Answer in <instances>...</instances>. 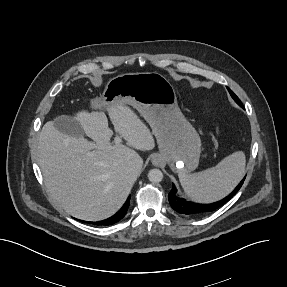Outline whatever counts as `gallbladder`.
Wrapping results in <instances>:
<instances>
[{"mask_svg":"<svg viewBox=\"0 0 287 287\" xmlns=\"http://www.w3.org/2000/svg\"><path fill=\"white\" fill-rule=\"evenodd\" d=\"M54 127L69 136L83 137L84 131L80 123L73 117L68 115H61L54 119Z\"/></svg>","mask_w":287,"mask_h":287,"instance_id":"1","label":"gallbladder"}]
</instances>
